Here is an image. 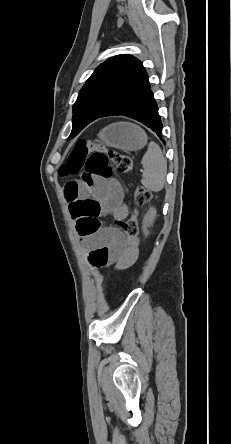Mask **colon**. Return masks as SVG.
<instances>
[{
    "instance_id": "obj_1",
    "label": "colon",
    "mask_w": 231,
    "mask_h": 444,
    "mask_svg": "<svg viewBox=\"0 0 231 444\" xmlns=\"http://www.w3.org/2000/svg\"><path fill=\"white\" fill-rule=\"evenodd\" d=\"M132 170L133 161L127 154L108 150L102 143L80 140L73 146L67 161L60 166L59 174L61 176L81 174L80 182L91 185L96 178H109L114 171L130 174ZM133 195L136 206H142L151 199L150 191L143 186L137 187ZM98 211V204L91 199L80 200L72 206L76 229L82 237L92 236L99 230ZM118 226L129 244H132L139 232L137 211L134 210L132 215Z\"/></svg>"
}]
</instances>
